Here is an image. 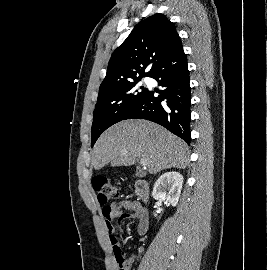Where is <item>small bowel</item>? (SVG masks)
<instances>
[{
	"mask_svg": "<svg viewBox=\"0 0 267 270\" xmlns=\"http://www.w3.org/2000/svg\"><path fill=\"white\" fill-rule=\"evenodd\" d=\"M105 219L106 228L110 235L112 245H115L116 227L113 221H124L125 219L132 220L137 227L139 235H145L148 232L149 220L145 209L137 202L122 200L112 203L110 206L102 210Z\"/></svg>",
	"mask_w": 267,
	"mask_h": 270,
	"instance_id": "small-bowel-1",
	"label": "small bowel"
}]
</instances>
